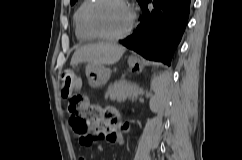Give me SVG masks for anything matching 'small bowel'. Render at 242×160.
<instances>
[{
  "mask_svg": "<svg viewBox=\"0 0 242 160\" xmlns=\"http://www.w3.org/2000/svg\"><path fill=\"white\" fill-rule=\"evenodd\" d=\"M106 117L107 119L105 121H96L94 123V126H95L94 130L102 133L101 138L104 137L108 143L122 144L124 140H123V134L119 129L120 122L118 117L113 114H108L106 115ZM70 125L73 129V125L71 121H70ZM98 140H96L95 143ZM80 160H85V159L81 158Z\"/></svg>",
  "mask_w": 242,
  "mask_h": 160,
  "instance_id": "1",
  "label": "small bowel"
}]
</instances>
